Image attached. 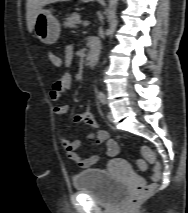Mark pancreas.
Instances as JSON below:
<instances>
[{
    "label": "pancreas",
    "instance_id": "obj_1",
    "mask_svg": "<svg viewBox=\"0 0 188 213\" xmlns=\"http://www.w3.org/2000/svg\"><path fill=\"white\" fill-rule=\"evenodd\" d=\"M80 22L79 14L74 12L65 19L63 25L65 28H77Z\"/></svg>",
    "mask_w": 188,
    "mask_h": 213
}]
</instances>
